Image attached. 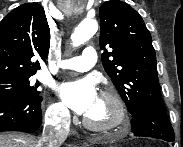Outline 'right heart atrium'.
<instances>
[{
    "label": "right heart atrium",
    "instance_id": "d8ad5b80",
    "mask_svg": "<svg viewBox=\"0 0 183 147\" xmlns=\"http://www.w3.org/2000/svg\"><path fill=\"white\" fill-rule=\"evenodd\" d=\"M48 124L56 127H67L70 122V113L61 102H51L45 112Z\"/></svg>",
    "mask_w": 183,
    "mask_h": 147
}]
</instances>
